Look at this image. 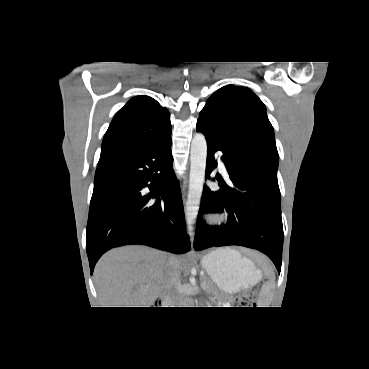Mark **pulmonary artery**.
Here are the masks:
<instances>
[{
    "label": "pulmonary artery",
    "mask_w": 369,
    "mask_h": 369,
    "mask_svg": "<svg viewBox=\"0 0 369 369\" xmlns=\"http://www.w3.org/2000/svg\"><path fill=\"white\" fill-rule=\"evenodd\" d=\"M219 168L227 176V170H226L225 164L221 159H219Z\"/></svg>",
    "instance_id": "pulmonary-artery-1"
}]
</instances>
